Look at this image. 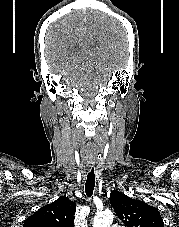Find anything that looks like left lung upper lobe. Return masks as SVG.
<instances>
[{
	"mask_svg": "<svg viewBox=\"0 0 179 227\" xmlns=\"http://www.w3.org/2000/svg\"><path fill=\"white\" fill-rule=\"evenodd\" d=\"M110 204L126 227H164L160 212L141 200L112 191Z\"/></svg>",
	"mask_w": 179,
	"mask_h": 227,
	"instance_id": "obj_1",
	"label": "left lung upper lobe"
}]
</instances>
